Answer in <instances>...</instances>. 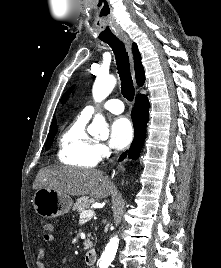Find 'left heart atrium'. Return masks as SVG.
I'll return each instance as SVG.
<instances>
[{
    "label": "left heart atrium",
    "mask_w": 221,
    "mask_h": 268,
    "mask_svg": "<svg viewBox=\"0 0 221 268\" xmlns=\"http://www.w3.org/2000/svg\"><path fill=\"white\" fill-rule=\"evenodd\" d=\"M133 138V128L126 117L113 120L110 127L109 144L112 148L121 150L127 147Z\"/></svg>",
    "instance_id": "obj_1"
}]
</instances>
